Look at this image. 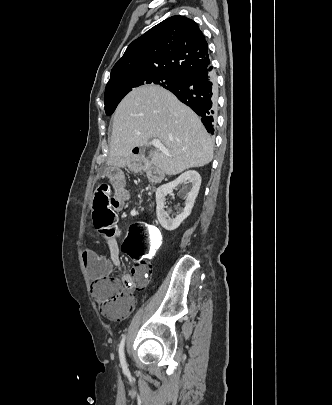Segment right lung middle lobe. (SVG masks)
Wrapping results in <instances>:
<instances>
[{
  "mask_svg": "<svg viewBox=\"0 0 332 405\" xmlns=\"http://www.w3.org/2000/svg\"><path fill=\"white\" fill-rule=\"evenodd\" d=\"M182 78L183 77L179 75L152 72L121 75L107 83L104 97L105 112L107 115H111L119 102L132 90V88L146 84H158L167 89L178 84Z\"/></svg>",
  "mask_w": 332,
  "mask_h": 405,
  "instance_id": "obj_1",
  "label": "right lung middle lobe"
}]
</instances>
